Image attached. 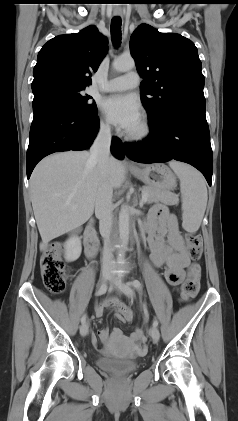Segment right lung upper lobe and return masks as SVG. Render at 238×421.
Listing matches in <instances>:
<instances>
[{
  "instance_id": "obj_1",
  "label": "right lung upper lobe",
  "mask_w": 238,
  "mask_h": 421,
  "mask_svg": "<svg viewBox=\"0 0 238 421\" xmlns=\"http://www.w3.org/2000/svg\"><path fill=\"white\" fill-rule=\"evenodd\" d=\"M107 48L106 37L93 25L49 40L38 53L32 86L46 82L90 85L91 74L97 71Z\"/></svg>"
}]
</instances>
